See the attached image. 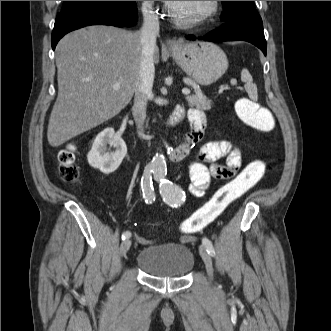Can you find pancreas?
<instances>
[{
	"mask_svg": "<svg viewBox=\"0 0 331 331\" xmlns=\"http://www.w3.org/2000/svg\"><path fill=\"white\" fill-rule=\"evenodd\" d=\"M186 100L191 106H195L196 108L202 110H208L212 105V101L200 92H197L192 96H187Z\"/></svg>",
	"mask_w": 331,
	"mask_h": 331,
	"instance_id": "obj_1",
	"label": "pancreas"
}]
</instances>
